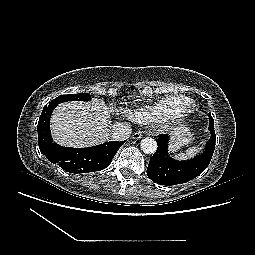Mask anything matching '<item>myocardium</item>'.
<instances>
[{
    "instance_id": "obj_1",
    "label": "myocardium",
    "mask_w": 255,
    "mask_h": 255,
    "mask_svg": "<svg viewBox=\"0 0 255 255\" xmlns=\"http://www.w3.org/2000/svg\"><path fill=\"white\" fill-rule=\"evenodd\" d=\"M188 108H189V106L172 108L171 111L169 112V116L166 120H170L173 122H181V121L185 120V118L187 117V115L189 113ZM166 120H161V121H166Z\"/></svg>"
}]
</instances>
